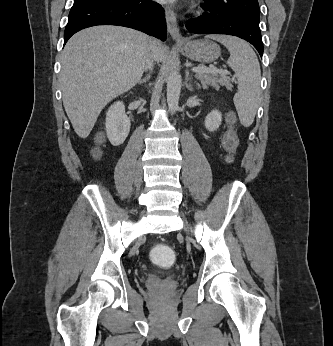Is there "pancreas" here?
Returning <instances> with one entry per match:
<instances>
[{
    "label": "pancreas",
    "instance_id": "obj_1",
    "mask_svg": "<svg viewBox=\"0 0 333 346\" xmlns=\"http://www.w3.org/2000/svg\"><path fill=\"white\" fill-rule=\"evenodd\" d=\"M195 77L201 82L203 88L211 86L219 90L220 86H226L227 89L232 88L231 79L223 73H197ZM200 87V85H198Z\"/></svg>",
    "mask_w": 333,
    "mask_h": 346
}]
</instances>
